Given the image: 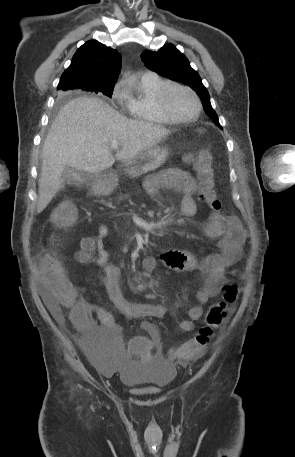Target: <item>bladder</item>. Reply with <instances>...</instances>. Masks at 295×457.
Instances as JSON below:
<instances>
[{
  "label": "bladder",
  "instance_id": "bladder-1",
  "mask_svg": "<svg viewBox=\"0 0 295 457\" xmlns=\"http://www.w3.org/2000/svg\"><path fill=\"white\" fill-rule=\"evenodd\" d=\"M81 356H87L100 371H116L121 382L133 389L149 391L166 386L174 378V368L161 345L154 347L152 366H132V359L120 357L116 347L121 338H77Z\"/></svg>",
  "mask_w": 295,
  "mask_h": 457
}]
</instances>
